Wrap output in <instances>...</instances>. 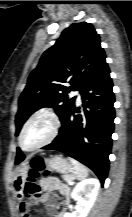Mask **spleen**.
<instances>
[{
  "instance_id": "1",
  "label": "spleen",
  "mask_w": 132,
  "mask_h": 217,
  "mask_svg": "<svg viewBox=\"0 0 132 217\" xmlns=\"http://www.w3.org/2000/svg\"><path fill=\"white\" fill-rule=\"evenodd\" d=\"M69 161L74 166L76 177L78 180H83L88 176L89 170L86 166H84L83 164H81L80 162H78L77 160L73 158H69Z\"/></svg>"
}]
</instances>
